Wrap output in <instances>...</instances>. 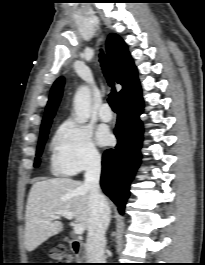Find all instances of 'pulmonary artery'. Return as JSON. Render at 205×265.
I'll use <instances>...</instances> for the list:
<instances>
[{"label": "pulmonary artery", "instance_id": "1", "mask_svg": "<svg viewBox=\"0 0 205 265\" xmlns=\"http://www.w3.org/2000/svg\"><path fill=\"white\" fill-rule=\"evenodd\" d=\"M99 117L102 121L108 122L113 118L111 108L108 103H103L99 109Z\"/></svg>", "mask_w": 205, "mask_h": 265}]
</instances>
